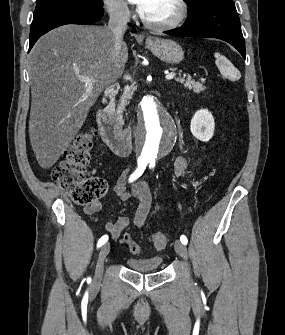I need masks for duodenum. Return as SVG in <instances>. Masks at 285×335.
<instances>
[{
	"mask_svg": "<svg viewBox=\"0 0 285 335\" xmlns=\"http://www.w3.org/2000/svg\"><path fill=\"white\" fill-rule=\"evenodd\" d=\"M119 89L118 84H113L106 90L97 112V126L108 147L117 155L127 156L133 148V132L123 127L113 113V100Z\"/></svg>",
	"mask_w": 285,
	"mask_h": 335,
	"instance_id": "410a0bca",
	"label": "duodenum"
}]
</instances>
